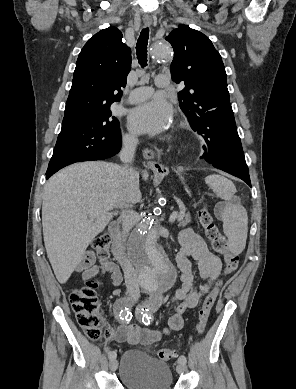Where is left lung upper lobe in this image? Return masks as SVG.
<instances>
[{
  "label": "left lung upper lobe",
  "instance_id": "obj_1",
  "mask_svg": "<svg viewBox=\"0 0 296 389\" xmlns=\"http://www.w3.org/2000/svg\"><path fill=\"white\" fill-rule=\"evenodd\" d=\"M166 40L174 49L172 79L186 85L179 92L180 108L200 134L206 114L230 104L224 64L211 40L189 26L179 25Z\"/></svg>",
  "mask_w": 296,
  "mask_h": 389
}]
</instances>
